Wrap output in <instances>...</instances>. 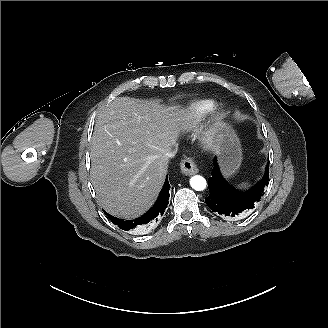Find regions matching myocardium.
<instances>
[{"label":"myocardium","mask_w":328,"mask_h":328,"mask_svg":"<svg viewBox=\"0 0 328 328\" xmlns=\"http://www.w3.org/2000/svg\"><path fill=\"white\" fill-rule=\"evenodd\" d=\"M227 122L225 109L216 103L206 114L203 125L197 130V140L207 150L216 147Z\"/></svg>","instance_id":"f54148a6"}]
</instances>
